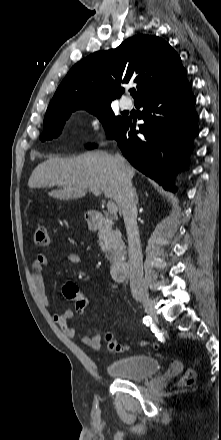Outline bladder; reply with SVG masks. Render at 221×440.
<instances>
[{"mask_svg": "<svg viewBox=\"0 0 221 440\" xmlns=\"http://www.w3.org/2000/svg\"><path fill=\"white\" fill-rule=\"evenodd\" d=\"M160 369V360L149 355H135L109 362L106 372L116 378L143 380L155 375Z\"/></svg>", "mask_w": 221, "mask_h": 440, "instance_id": "1", "label": "bladder"}]
</instances>
